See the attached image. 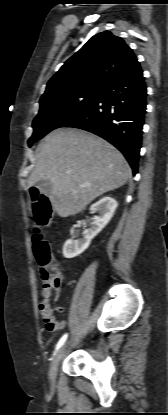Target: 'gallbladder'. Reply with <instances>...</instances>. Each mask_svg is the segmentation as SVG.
<instances>
[{
  "label": "gallbladder",
  "mask_w": 168,
  "mask_h": 415,
  "mask_svg": "<svg viewBox=\"0 0 168 415\" xmlns=\"http://www.w3.org/2000/svg\"><path fill=\"white\" fill-rule=\"evenodd\" d=\"M37 187L41 193L49 195L53 189V184L50 180H41L37 183Z\"/></svg>",
  "instance_id": "1"
}]
</instances>
